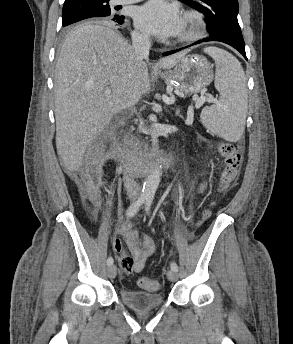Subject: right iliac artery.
I'll return each instance as SVG.
<instances>
[{"label": "right iliac artery", "instance_id": "obj_1", "mask_svg": "<svg viewBox=\"0 0 293 344\" xmlns=\"http://www.w3.org/2000/svg\"><path fill=\"white\" fill-rule=\"evenodd\" d=\"M147 196L141 195L135 202H133L129 208L126 211V216L127 217H132L134 216L139 208L143 205V203L146 201ZM113 264V258L108 257L107 259V265L110 266Z\"/></svg>", "mask_w": 293, "mask_h": 344}]
</instances>
